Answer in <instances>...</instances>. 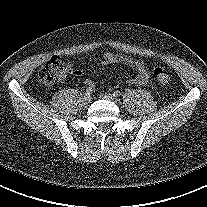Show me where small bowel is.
<instances>
[{"label": "small bowel", "instance_id": "c3829d8e", "mask_svg": "<svg viewBox=\"0 0 207 207\" xmlns=\"http://www.w3.org/2000/svg\"><path fill=\"white\" fill-rule=\"evenodd\" d=\"M116 62L125 63L137 71V75L132 80H130L132 84L145 85L148 82L149 71L146 65L144 64V62L139 59L126 56V55L116 54L113 52H106L103 55L102 59L100 60V63L103 65L113 64ZM68 70L73 76L79 77L82 75V71L74 67L72 64L68 65ZM64 79H65V74L63 73L59 77V81H63ZM85 84L88 87H91L92 89L94 88V83L91 79H86Z\"/></svg>", "mask_w": 207, "mask_h": 207}]
</instances>
